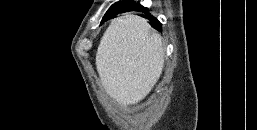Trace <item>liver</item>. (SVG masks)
<instances>
[{"mask_svg": "<svg viewBox=\"0 0 257 130\" xmlns=\"http://www.w3.org/2000/svg\"><path fill=\"white\" fill-rule=\"evenodd\" d=\"M164 67L161 36L134 14L112 20L96 53V68L107 94L127 107L143 100Z\"/></svg>", "mask_w": 257, "mask_h": 130, "instance_id": "1", "label": "liver"}]
</instances>
